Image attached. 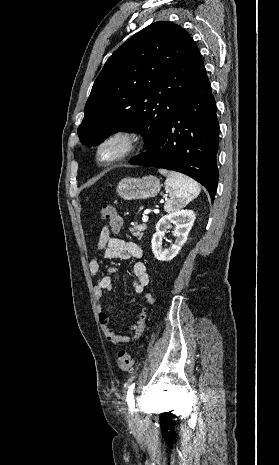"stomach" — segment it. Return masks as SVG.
Instances as JSON below:
<instances>
[{"mask_svg":"<svg viewBox=\"0 0 279 465\" xmlns=\"http://www.w3.org/2000/svg\"><path fill=\"white\" fill-rule=\"evenodd\" d=\"M160 188V180L149 175L142 178H124L118 183L116 191L125 200H136L154 197Z\"/></svg>","mask_w":279,"mask_h":465,"instance_id":"obj_1","label":"stomach"}]
</instances>
